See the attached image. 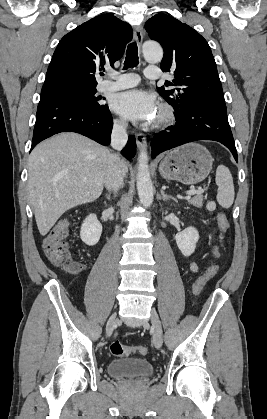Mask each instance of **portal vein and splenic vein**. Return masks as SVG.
<instances>
[{
	"label": "portal vein and splenic vein",
	"mask_w": 267,
	"mask_h": 419,
	"mask_svg": "<svg viewBox=\"0 0 267 419\" xmlns=\"http://www.w3.org/2000/svg\"><path fill=\"white\" fill-rule=\"evenodd\" d=\"M203 192H204V190H203L202 188H199V189H197V190H195V189L188 190V191L186 192V194H187L188 196H191V195H195V194H201V193H203Z\"/></svg>",
	"instance_id": "18ae733b"
}]
</instances>
